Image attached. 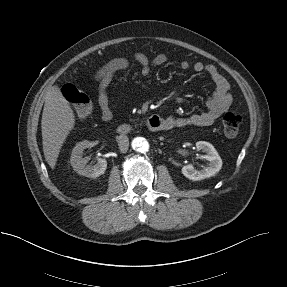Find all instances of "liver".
<instances>
[{
	"instance_id": "obj_1",
	"label": "liver",
	"mask_w": 287,
	"mask_h": 287,
	"mask_svg": "<svg viewBox=\"0 0 287 287\" xmlns=\"http://www.w3.org/2000/svg\"><path fill=\"white\" fill-rule=\"evenodd\" d=\"M44 98L41 120L43 152L47 163L54 169L62 144L75 125V116L58 86H52Z\"/></svg>"
}]
</instances>
